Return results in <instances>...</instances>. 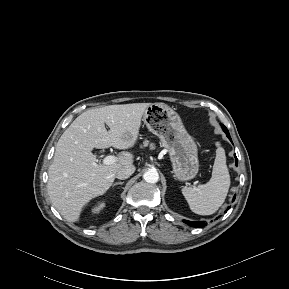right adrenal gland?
Here are the masks:
<instances>
[{
  "mask_svg": "<svg viewBox=\"0 0 289 289\" xmlns=\"http://www.w3.org/2000/svg\"><path fill=\"white\" fill-rule=\"evenodd\" d=\"M122 184H124V182H121V181L115 182V183L113 184V187L116 186V185H122Z\"/></svg>",
  "mask_w": 289,
  "mask_h": 289,
  "instance_id": "2a0ac1e0",
  "label": "right adrenal gland"
}]
</instances>
